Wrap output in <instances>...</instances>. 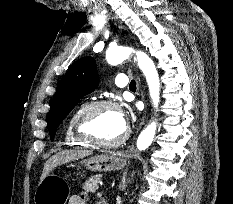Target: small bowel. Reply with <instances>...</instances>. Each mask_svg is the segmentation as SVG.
Masks as SVG:
<instances>
[{"label": "small bowel", "mask_w": 233, "mask_h": 204, "mask_svg": "<svg viewBox=\"0 0 233 204\" xmlns=\"http://www.w3.org/2000/svg\"><path fill=\"white\" fill-rule=\"evenodd\" d=\"M86 195L84 193L73 195L70 200L69 204H85Z\"/></svg>", "instance_id": "c3829d8e"}]
</instances>
